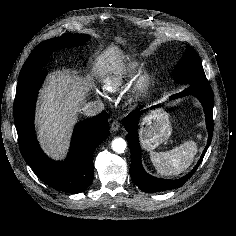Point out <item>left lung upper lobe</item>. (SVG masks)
I'll return each mask as SVG.
<instances>
[{
	"label": "left lung upper lobe",
	"mask_w": 236,
	"mask_h": 236,
	"mask_svg": "<svg viewBox=\"0 0 236 236\" xmlns=\"http://www.w3.org/2000/svg\"><path fill=\"white\" fill-rule=\"evenodd\" d=\"M173 77L180 84L196 85L208 82L201 59L191 46L187 45L185 55L174 69Z\"/></svg>",
	"instance_id": "obj_1"
}]
</instances>
